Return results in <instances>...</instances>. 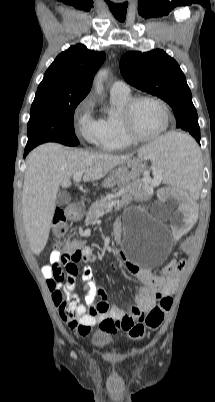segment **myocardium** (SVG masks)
Masks as SVG:
<instances>
[{
	"instance_id": "obj_1",
	"label": "myocardium",
	"mask_w": 215,
	"mask_h": 402,
	"mask_svg": "<svg viewBox=\"0 0 215 402\" xmlns=\"http://www.w3.org/2000/svg\"><path fill=\"white\" fill-rule=\"evenodd\" d=\"M142 101H152L158 104L162 108L165 115V123L163 128L153 135L148 136L141 135L137 133L134 128L133 124L134 110L136 106ZM170 122H171V112L168 105L161 98L152 95H141L132 97L126 102L120 113V123L122 130L127 139L130 140L132 143L148 142L160 138L169 130Z\"/></svg>"
}]
</instances>
